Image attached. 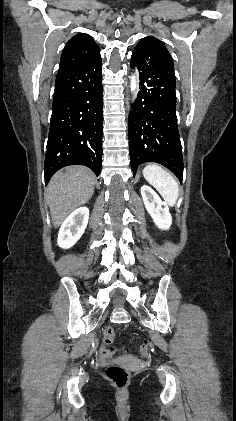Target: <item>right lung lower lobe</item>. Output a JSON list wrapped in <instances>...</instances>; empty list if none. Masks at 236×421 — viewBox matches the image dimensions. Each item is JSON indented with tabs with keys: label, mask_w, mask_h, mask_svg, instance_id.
Listing matches in <instances>:
<instances>
[{
	"label": "right lung lower lobe",
	"mask_w": 236,
	"mask_h": 421,
	"mask_svg": "<svg viewBox=\"0 0 236 421\" xmlns=\"http://www.w3.org/2000/svg\"><path fill=\"white\" fill-rule=\"evenodd\" d=\"M101 56L58 70L44 174L85 165L98 176L102 164L103 87Z\"/></svg>",
	"instance_id": "98d812e1"
}]
</instances>
